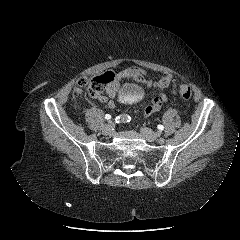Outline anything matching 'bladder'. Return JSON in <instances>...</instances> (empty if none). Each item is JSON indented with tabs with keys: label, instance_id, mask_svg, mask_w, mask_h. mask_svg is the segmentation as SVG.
Returning a JSON list of instances; mask_svg holds the SVG:
<instances>
[{
	"label": "bladder",
	"instance_id": "obj_1",
	"mask_svg": "<svg viewBox=\"0 0 240 240\" xmlns=\"http://www.w3.org/2000/svg\"><path fill=\"white\" fill-rule=\"evenodd\" d=\"M121 94L123 98L130 100L138 94V88L134 85H127L122 88Z\"/></svg>",
	"mask_w": 240,
	"mask_h": 240
}]
</instances>
